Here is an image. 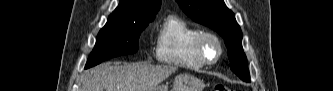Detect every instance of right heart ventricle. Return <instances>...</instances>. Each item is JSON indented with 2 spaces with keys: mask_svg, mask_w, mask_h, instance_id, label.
I'll return each instance as SVG.
<instances>
[{
  "mask_svg": "<svg viewBox=\"0 0 333 91\" xmlns=\"http://www.w3.org/2000/svg\"><path fill=\"white\" fill-rule=\"evenodd\" d=\"M202 31L180 17L164 19L156 35L155 56L164 64L185 69H200L205 65L195 53V41Z\"/></svg>",
  "mask_w": 333,
  "mask_h": 91,
  "instance_id": "obj_1",
  "label": "right heart ventricle"
}]
</instances>
